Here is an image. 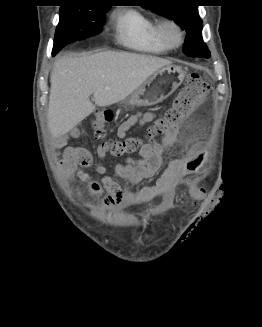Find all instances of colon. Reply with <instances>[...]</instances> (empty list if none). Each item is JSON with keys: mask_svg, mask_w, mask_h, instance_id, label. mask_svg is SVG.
I'll list each match as a JSON object with an SVG mask.
<instances>
[{"mask_svg": "<svg viewBox=\"0 0 262 327\" xmlns=\"http://www.w3.org/2000/svg\"><path fill=\"white\" fill-rule=\"evenodd\" d=\"M209 84L198 74H191L182 90L173 100L172 105L165 111L164 115L157 119L148 131L149 139L165 135L182 121L190 117L194 111L203 104L209 92ZM113 119L109 110H99L90 117L96 139L102 141L106 153L115 157L138 152L145 145L139 138L129 137L120 140H105L106 125Z\"/></svg>", "mask_w": 262, "mask_h": 327, "instance_id": "1", "label": "colon"}]
</instances>
